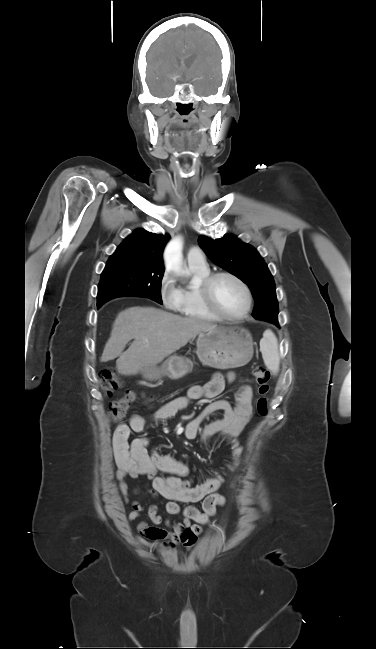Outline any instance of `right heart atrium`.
Listing matches in <instances>:
<instances>
[{
    "mask_svg": "<svg viewBox=\"0 0 376 649\" xmlns=\"http://www.w3.org/2000/svg\"><path fill=\"white\" fill-rule=\"evenodd\" d=\"M159 296L163 304L172 310H176L181 300L180 289L176 286L174 274L165 270L159 281Z\"/></svg>",
    "mask_w": 376,
    "mask_h": 649,
    "instance_id": "right-heart-atrium-1",
    "label": "right heart atrium"
}]
</instances>
